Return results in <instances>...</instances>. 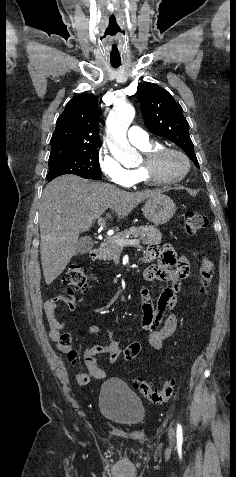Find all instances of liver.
I'll list each match as a JSON object with an SVG mask.
<instances>
[{"label": "liver", "instance_id": "1", "mask_svg": "<svg viewBox=\"0 0 236 477\" xmlns=\"http://www.w3.org/2000/svg\"><path fill=\"white\" fill-rule=\"evenodd\" d=\"M160 190L127 192L74 175L58 177L46 185L39 208L40 252L44 279L50 285L77 252L79 235L89 231L106 210L122 219ZM111 218V214H107Z\"/></svg>", "mask_w": 236, "mask_h": 477}]
</instances>
